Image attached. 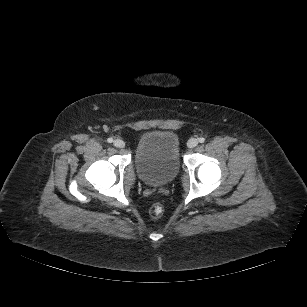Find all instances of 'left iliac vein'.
I'll use <instances>...</instances> for the list:
<instances>
[{
    "instance_id": "1",
    "label": "left iliac vein",
    "mask_w": 307,
    "mask_h": 307,
    "mask_svg": "<svg viewBox=\"0 0 307 307\" xmlns=\"http://www.w3.org/2000/svg\"><path fill=\"white\" fill-rule=\"evenodd\" d=\"M197 145H198V140L195 139V138H191V139H189L188 142H187V146H188L189 148H194V147H196Z\"/></svg>"
}]
</instances>
